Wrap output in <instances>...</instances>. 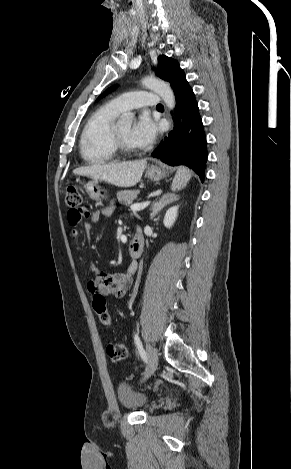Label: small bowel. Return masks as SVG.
Returning <instances> with one entry per match:
<instances>
[{
	"label": "small bowel",
	"mask_w": 291,
	"mask_h": 469,
	"mask_svg": "<svg viewBox=\"0 0 291 469\" xmlns=\"http://www.w3.org/2000/svg\"><path fill=\"white\" fill-rule=\"evenodd\" d=\"M112 213V208L107 207L102 211L95 212L91 215L93 221H97L101 216H109ZM87 212L80 216L76 211L69 210L67 215L68 223L71 227V238L73 241H78L81 235V223L83 218L89 217ZM85 229L88 231L90 226L85 224ZM84 264L92 271L96 272V277L87 281L88 291L93 295L96 293H107L116 298H123L132 283L133 276L138 268L137 263H131L126 271L108 274L96 270L95 266L89 262L84 261Z\"/></svg>",
	"instance_id": "1"
}]
</instances>
